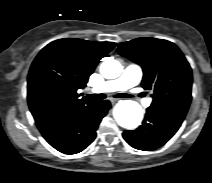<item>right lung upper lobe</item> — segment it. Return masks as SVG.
Returning a JSON list of instances; mask_svg holds the SVG:
<instances>
[{"mask_svg":"<svg viewBox=\"0 0 212 183\" xmlns=\"http://www.w3.org/2000/svg\"><path fill=\"white\" fill-rule=\"evenodd\" d=\"M112 42L59 39L45 46L28 74V104L36 122L65 111H77L95 101L80 98L99 60L114 47Z\"/></svg>","mask_w":212,"mask_h":183,"instance_id":"right-lung-upper-lobe-1","label":"right lung upper lobe"}]
</instances>
